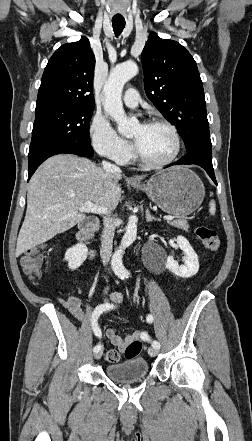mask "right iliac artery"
Masks as SVG:
<instances>
[{"mask_svg":"<svg viewBox=\"0 0 252 441\" xmlns=\"http://www.w3.org/2000/svg\"><path fill=\"white\" fill-rule=\"evenodd\" d=\"M113 307H114V306H113L112 304H100V305H98V306L94 309V311H93V313H92L91 325H92V329H93V331H94V334H95L98 338H101L102 333H101V329H100L99 326H98V322H97V320H98L99 316H100L104 311H107V310L113 309ZM101 348H102V346H101L100 344H98V345H96V346L94 347L93 351H94V352H97V351L101 350Z\"/></svg>","mask_w":252,"mask_h":441,"instance_id":"1","label":"right iliac artery"}]
</instances>
